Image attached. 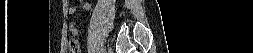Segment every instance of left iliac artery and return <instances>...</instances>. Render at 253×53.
Here are the masks:
<instances>
[{
	"label": "left iliac artery",
	"instance_id": "obj_1",
	"mask_svg": "<svg viewBox=\"0 0 253 53\" xmlns=\"http://www.w3.org/2000/svg\"><path fill=\"white\" fill-rule=\"evenodd\" d=\"M98 48H99V53H102L101 45H98Z\"/></svg>",
	"mask_w": 253,
	"mask_h": 53
}]
</instances>
